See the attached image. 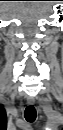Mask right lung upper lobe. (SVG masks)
<instances>
[{
  "mask_svg": "<svg viewBox=\"0 0 63 130\" xmlns=\"http://www.w3.org/2000/svg\"><path fill=\"white\" fill-rule=\"evenodd\" d=\"M6 119H7L6 113H5L4 109H3L2 110V123H3L4 126H6Z\"/></svg>",
  "mask_w": 63,
  "mask_h": 130,
  "instance_id": "cb5924a9",
  "label": "right lung upper lobe"
}]
</instances>
